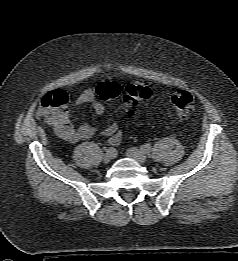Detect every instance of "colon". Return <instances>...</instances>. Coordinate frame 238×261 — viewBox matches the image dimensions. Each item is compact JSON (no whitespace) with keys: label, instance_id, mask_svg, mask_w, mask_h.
<instances>
[{"label":"colon","instance_id":"obj_1","mask_svg":"<svg viewBox=\"0 0 238 261\" xmlns=\"http://www.w3.org/2000/svg\"><path fill=\"white\" fill-rule=\"evenodd\" d=\"M121 86L116 81H105L96 88L100 99H114L121 95ZM151 96L150 87L141 81L130 83L123 92V101L129 108V114L134 108L144 104ZM68 96L61 90L50 91L40 101L39 113L51 124L60 123L68 117ZM171 104L181 118H187L194 108V96L187 90H178L171 96Z\"/></svg>","mask_w":238,"mask_h":261}]
</instances>
